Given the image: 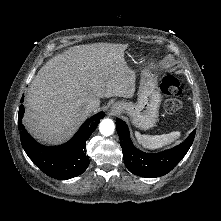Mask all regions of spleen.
Instances as JSON below:
<instances>
[{
    "instance_id": "obj_1",
    "label": "spleen",
    "mask_w": 221,
    "mask_h": 221,
    "mask_svg": "<svg viewBox=\"0 0 221 221\" xmlns=\"http://www.w3.org/2000/svg\"><path fill=\"white\" fill-rule=\"evenodd\" d=\"M179 131H174L169 134L162 135H141L139 132H135V137L142 147L150 150L159 149L167 144H170L174 140L180 137Z\"/></svg>"
}]
</instances>
